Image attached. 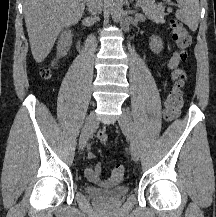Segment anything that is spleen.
<instances>
[{
    "label": "spleen",
    "mask_w": 216,
    "mask_h": 217,
    "mask_svg": "<svg viewBox=\"0 0 216 217\" xmlns=\"http://www.w3.org/2000/svg\"><path fill=\"white\" fill-rule=\"evenodd\" d=\"M177 2L182 8L176 11V17L192 31H196L200 19L199 0H177Z\"/></svg>",
    "instance_id": "1"
}]
</instances>
